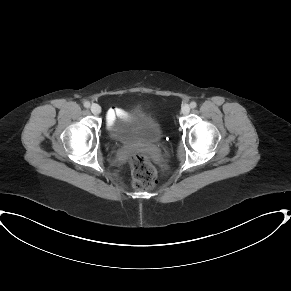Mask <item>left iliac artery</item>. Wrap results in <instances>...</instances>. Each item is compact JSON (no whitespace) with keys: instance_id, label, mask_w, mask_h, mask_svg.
I'll return each instance as SVG.
<instances>
[{"instance_id":"44dca946","label":"left iliac artery","mask_w":291,"mask_h":291,"mask_svg":"<svg viewBox=\"0 0 291 291\" xmlns=\"http://www.w3.org/2000/svg\"><path fill=\"white\" fill-rule=\"evenodd\" d=\"M196 106H197V103H196L195 101H192V102L190 103V107H191V108H196Z\"/></svg>"}]
</instances>
